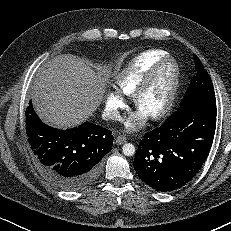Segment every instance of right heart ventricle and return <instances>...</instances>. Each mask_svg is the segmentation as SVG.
<instances>
[{
	"label": "right heart ventricle",
	"instance_id": "right-heart-ventricle-1",
	"mask_svg": "<svg viewBox=\"0 0 231 231\" xmlns=\"http://www.w3.org/2000/svg\"><path fill=\"white\" fill-rule=\"evenodd\" d=\"M168 53L160 49H150L134 57L115 77V84L120 91L133 95L134 90L144 79L151 67Z\"/></svg>",
	"mask_w": 231,
	"mask_h": 231
}]
</instances>
